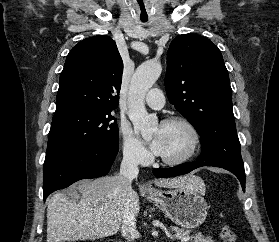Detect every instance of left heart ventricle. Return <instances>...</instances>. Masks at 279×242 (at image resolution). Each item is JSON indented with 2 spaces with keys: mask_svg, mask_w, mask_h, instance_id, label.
<instances>
[{
  "mask_svg": "<svg viewBox=\"0 0 279 242\" xmlns=\"http://www.w3.org/2000/svg\"><path fill=\"white\" fill-rule=\"evenodd\" d=\"M153 134H158L161 137L162 150L160 156L162 157L178 158L189 149L191 136L183 125H159L154 129Z\"/></svg>",
  "mask_w": 279,
  "mask_h": 242,
  "instance_id": "1",
  "label": "left heart ventricle"
}]
</instances>
